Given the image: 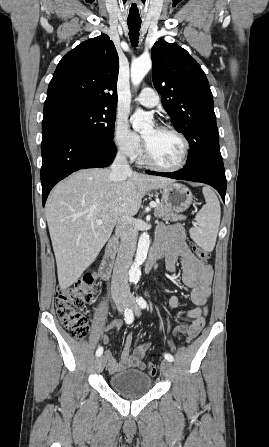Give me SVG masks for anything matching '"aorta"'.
Listing matches in <instances>:
<instances>
[{
  "label": "aorta",
  "mask_w": 269,
  "mask_h": 447,
  "mask_svg": "<svg viewBox=\"0 0 269 447\" xmlns=\"http://www.w3.org/2000/svg\"><path fill=\"white\" fill-rule=\"evenodd\" d=\"M152 68V60L150 56H140L131 64V82L133 86H139L146 74ZM133 128L137 132L144 130H153V116L149 112H144L142 108H136L133 116ZM150 245V237L148 233H142L139 237L136 257L133 265L129 269L130 281H139L141 275L140 265L146 259L147 251Z\"/></svg>",
  "instance_id": "obj_1"
}]
</instances>
